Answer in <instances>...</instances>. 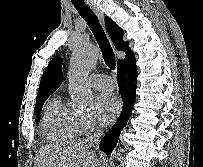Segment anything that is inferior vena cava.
<instances>
[{
	"instance_id": "obj_1",
	"label": "inferior vena cava",
	"mask_w": 203,
	"mask_h": 167,
	"mask_svg": "<svg viewBox=\"0 0 203 167\" xmlns=\"http://www.w3.org/2000/svg\"><path fill=\"white\" fill-rule=\"evenodd\" d=\"M100 135H101V131L95 133V134L93 135V138H94V139L99 138Z\"/></svg>"
}]
</instances>
